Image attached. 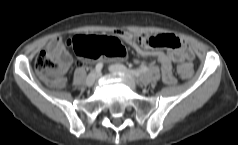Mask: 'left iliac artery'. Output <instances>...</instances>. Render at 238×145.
<instances>
[{
  "instance_id": "1",
  "label": "left iliac artery",
  "mask_w": 238,
  "mask_h": 145,
  "mask_svg": "<svg viewBox=\"0 0 238 145\" xmlns=\"http://www.w3.org/2000/svg\"><path fill=\"white\" fill-rule=\"evenodd\" d=\"M147 71H148V67H146V66H143V67H141L139 69H132V70H130V72L133 75H135V76H140L142 73H145Z\"/></svg>"
}]
</instances>
